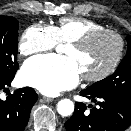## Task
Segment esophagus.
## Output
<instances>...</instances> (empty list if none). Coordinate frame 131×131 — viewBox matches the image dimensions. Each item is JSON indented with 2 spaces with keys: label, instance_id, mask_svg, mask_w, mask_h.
Masks as SVG:
<instances>
[{
  "label": "esophagus",
  "instance_id": "34e87169",
  "mask_svg": "<svg viewBox=\"0 0 131 131\" xmlns=\"http://www.w3.org/2000/svg\"><path fill=\"white\" fill-rule=\"evenodd\" d=\"M43 100H44L45 102H53V101H54V99H53V98H50V97H43Z\"/></svg>",
  "mask_w": 131,
  "mask_h": 131
}]
</instances>
